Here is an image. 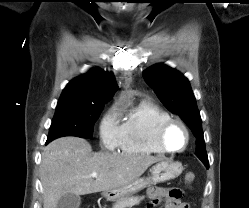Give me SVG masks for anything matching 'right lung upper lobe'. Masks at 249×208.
I'll return each mask as SVG.
<instances>
[{
	"mask_svg": "<svg viewBox=\"0 0 249 208\" xmlns=\"http://www.w3.org/2000/svg\"><path fill=\"white\" fill-rule=\"evenodd\" d=\"M116 90H118V86L114 75L94 68L67 84L57 106L104 105L112 98Z\"/></svg>",
	"mask_w": 249,
	"mask_h": 208,
	"instance_id": "cb5924a9",
	"label": "right lung upper lobe"
}]
</instances>
